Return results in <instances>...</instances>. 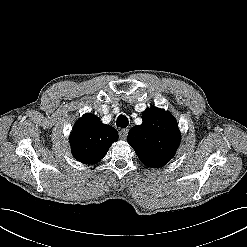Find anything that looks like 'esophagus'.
Returning <instances> with one entry per match:
<instances>
[{
    "mask_svg": "<svg viewBox=\"0 0 247 247\" xmlns=\"http://www.w3.org/2000/svg\"><path fill=\"white\" fill-rule=\"evenodd\" d=\"M128 131H129L128 128H124V129H121L119 131V137H120L121 140H126L127 135H128Z\"/></svg>",
    "mask_w": 247,
    "mask_h": 247,
    "instance_id": "1",
    "label": "esophagus"
}]
</instances>
